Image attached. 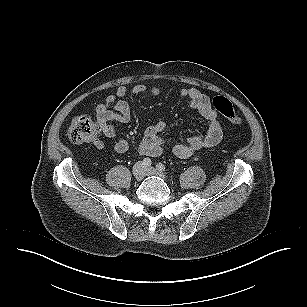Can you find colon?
Here are the masks:
<instances>
[{"mask_svg": "<svg viewBox=\"0 0 307 307\" xmlns=\"http://www.w3.org/2000/svg\"><path fill=\"white\" fill-rule=\"evenodd\" d=\"M213 108L231 124L240 126L241 118L236 114L231 102L222 96L212 100ZM99 127L97 123L87 115H77L70 123L68 137L74 143L94 142L98 139Z\"/></svg>", "mask_w": 307, "mask_h": 307, "instance_id": "1", "label": "colon"}]
</instances>
